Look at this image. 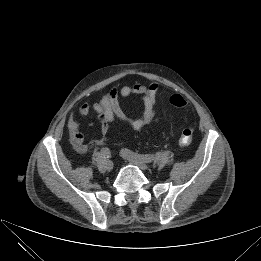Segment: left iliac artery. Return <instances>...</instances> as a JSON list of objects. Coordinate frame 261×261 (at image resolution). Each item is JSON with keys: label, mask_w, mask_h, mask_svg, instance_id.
I'll use <instances>...</instances> for the list:
<instances>
[{"label": "left iliac artery", "mask_w": 261, "mask_h": 261, "mask_svg": "<svg viewBox=\"0 0 261 261\" xmlns=\"http://www.w3.org/2000/svg\"><path fill=\"white\" fill-rule=\"evenodd\" d=\"M123 152L130 158H134V159H139V160H142L146 163H149L153 160V155H150V154H139V153H136V152H133L129 149H124Z\"/></svg>", "instance_id": "44dca946"}]
</instances>
